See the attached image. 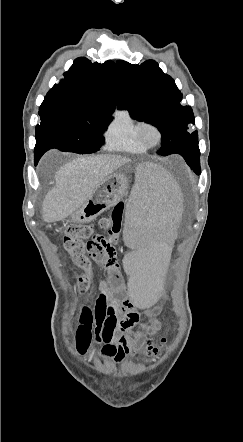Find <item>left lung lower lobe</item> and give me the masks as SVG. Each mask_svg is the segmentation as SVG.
Wrapping results in <instances>:
<instances>
[{"instance_id":"left-lung-lower-lobe-1","label":"left lung lower lobe","mask_w":243,"mask_h":442,"mask_svg":"<svg viewBox=\"0 0 243 442\" xmlns=\"http://www.w3.org/2000/svg\"><path fill=\"white\" fill-rule=\"evenodd\" d=\"M200 157V152H198L195 156H193V158L198 159L199 160ZM187 163H191V160L189 158H186Z\"/></svg>"}]
</instances>
